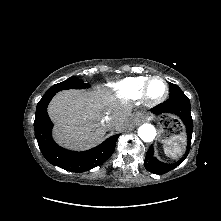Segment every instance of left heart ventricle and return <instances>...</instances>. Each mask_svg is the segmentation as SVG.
I'll return each instance as SVG.
<instances>
[{
	"label": "left heart ventricle",
	"instance_id": "b2bd125f",
	"mask_svg": "<svg viewBox=\"0 0 221 221\" xmlns=\"http://www.w3.org/2000/svg\"><path fill=\"white\" fill-rule=\"evenodd\" d=\"M165 91L164 84L160 80H155L152 82L149 94L153 98L160 97Z\"/></svg>",
	"mask_w": 221,
	"mask_h": 221
}]
</instances>
